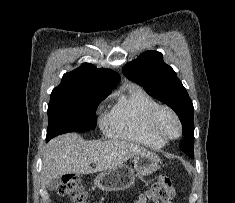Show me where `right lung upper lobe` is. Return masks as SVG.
<instances>
[{
    "label": "right lung upper lobe",
    "mask_w": 235,
    "mask_h": 203,
    "mask_svg": "<svg viewBox=\"0 0 235 203\" xmlns=\"http://www.w3.org/2000/svg\"><path fill=\"white\" fill-rule=\"evenodd\" d=\"M120 76L109 69H98L90 63H83L72 72L65 73L56 89H88L110 93L118 84Z\"/></svg>",
    "instance_id": "cb5924a9"
}]
</instances>
